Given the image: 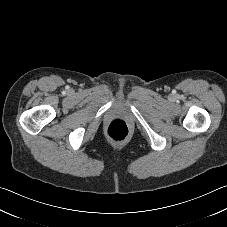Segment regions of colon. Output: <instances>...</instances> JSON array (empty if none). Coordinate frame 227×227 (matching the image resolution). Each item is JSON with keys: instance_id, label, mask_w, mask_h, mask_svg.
I'll return each instance as SVG.
<instances>
[{"instance_id": "colon-1", "label": "colon", "mask_w": 227, "mask_h": 227, "mask_svg": "<svg viewBox=\"0 0 227 227\" xmlns=\"http://www.w3.org/2000/svg\"><path fill=\"white\" fill-rule=\"evenodd\" d=\"M107 135L111 140L124 141L129 135L128 125L123 120L115 119L109 123Z\"/></svg>"}]
</instances>
